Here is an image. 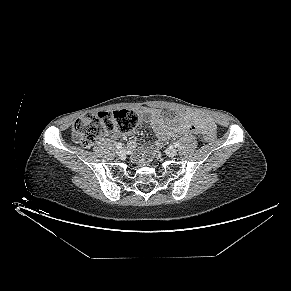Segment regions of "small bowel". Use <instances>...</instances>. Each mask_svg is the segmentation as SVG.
Listing matches in <instances>:
<instances>
[{"label": "small bowel", "instance_id": "1", "mask_svg": "<svg viewBox=\"0 0 291 291\" xmlns=\"http://www.w3.org/2000/svg\"><path fill=\"white\" fill-rule=\"evenodd\" d=\"M142 117L148 120L151 127L156 132L159 143L169 139L172 136H182L189 134H203L210 128H214L211 120L204 118L195 112H183L172 118H165L158 110L142 109L140 111ZM135 142L129 143V147L133 148Z\"/></svg>", "mask_w": 291, "mask_h": 291}]
</instances>
